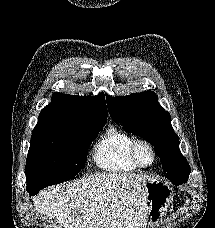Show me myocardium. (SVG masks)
Returning a JSON list of instances; mask_svg holds the SVG:
<instances>
[{"label": "myocardium", "instance_id": "f54148a6", "mask_svg": "<svg viewBox=\"0 0 215 228\" xmlns=\"http://www.w3.org/2000/svg\"><path fill=\"white\" fill-rule=\"evenodd\" d=\"M142 148L147 149L152 155V161L148 165L143 164L140 161L139 152ZM130 158L136 167L142 168V169H148V168L153 167L156 164L158 155H157V151H156L155 147L152 145V143H150L149 141H147L145 139H136L132 143L131 148H130Z\"/></svg>", "mask_w": 215, "mask_h": 228}]
</instances>
